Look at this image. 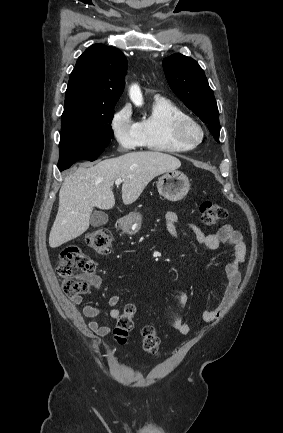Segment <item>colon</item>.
<instances>
[{"instance_id": "1", "label": "colon", "mask_w": 283, "mask_h": 433, "mask_svg": "<svg viewBox=\"0 0 283 433\" xmlns=\"http://www.w3.org/2000/svg\"><path fill=\"white\" fill-rule=\"evenodd\" d=\"M201 219L206 225H216L226 218V210L212 200L203 201L200 205ZM86 245L98 254H108L111 250V236L105 229L89 231L85 235ZM95 264L80 247L68 246L59 257L57 273L62 279V286L68 297L79 296L89 289V278L94 272ZM136 309L133 304L126 305L118 316L114 329V339L118 344H124L134 326ZM142 348L148 354H159L160 338L156 329L145 326L141 332Z\"/></svg>"}]
</instances>
